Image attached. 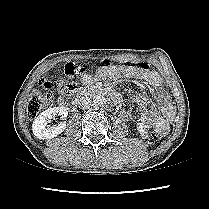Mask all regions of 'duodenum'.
<instances>
[{
  "label": "duodenum",
  "mask_w": 209,
  "mask_h": 209,
  "mask_svg": "<svg viewBox=\"0 0 209 209\" xmlns=\"http://www.w3.org/2000/svg\"><path fill=\"white\" fill-rule=\"evenodd\" d=\"M89 93H94L95 95L109 96L116 104H119L121 102L120 95L115 92H111L102 88H98V89L81 88L72 95H63L64 98L60 101V105L65 107H72L78 104L80 99L88 95Z\"/></svg>",
  "instance_id": "1"
}]
</instances>
